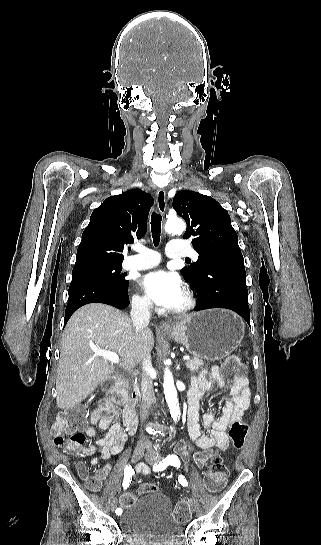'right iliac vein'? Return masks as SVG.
Here are the masks:
<instances>
[{
	"instance_id": "obj_1",
	"label": "right iliac vein",
	"mask_w": 321,
	"mask_h": 545,
	"mask_svg": "<svg viewBox=\"0 0 321 545\" xmlns=\"http://www.w3.org/2000/svg\"><path fill=\"white\" fill-rule=\"evenodd\" d=\"M144 453H145L144 448H141V447L135 448L132 455V462H137L138 460H140L143 457ZM115 508H116V499H113L111 502V510L114 511Z\"/></svg>"
}]
</instances>
